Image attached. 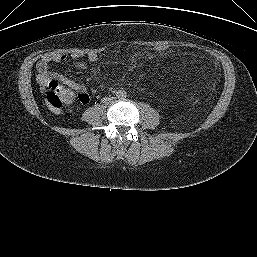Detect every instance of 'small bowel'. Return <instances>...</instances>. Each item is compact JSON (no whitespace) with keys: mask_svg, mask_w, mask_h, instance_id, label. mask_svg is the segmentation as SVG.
<instances>
[{"mask_svg":"<svg viewBox=\"0 0 257 257\" xmlns=\"http://www.w3.org/2000/svg\"><path fill=\"white\" fill-rule=\"evenodd\" d=\"M76 57L77 56H75V58ZM66 58L67 56L63 53L51 52L44 54L36 66L38 72L37 82L40 85H46L50 80H57L61 84L77 92L80 96H83L85 98L83 103H87L89 101V96L85 86L82 83L72 80L60 74L58 71L51 69L52 64L62 63L66 60ZM96 60L97 56L95 54H89L86 60L73 61L72 63L66 65V67L73 69H86L89 63L95 62Z\"/></svg>","mask_w":257,"mask_h":257,"instance_id":"1","label":"small bowel"}]
</instances>
